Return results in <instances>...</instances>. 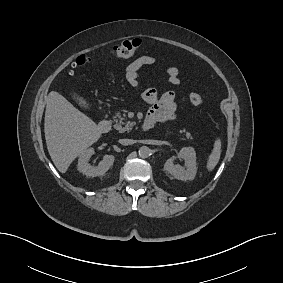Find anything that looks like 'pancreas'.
Returning a JSON list of instances; mask_svg holds the SVG:
<instances>
[{"mask_svg":"<svg viewBox=\"0 0 283 283\" xmlns=\"http://www.w3.org/2000/svg\"><path fill=\"white\" fill-rule=\"evenodd\" d=\"M126 120L125 115L121 116V114L118 112L116 113L114 122V128L120 132H125V131H130L134 125L133 122H126V125L123 126L125 123L124 121ZM181 133H184V135L186 136L187 139H192V135L190 134V132H186L185 130H182Z\"/></svg>","mask_w":283,"mask_h":283,"instance_id":"obj_1","label":"pancreas"}]
</instances>
